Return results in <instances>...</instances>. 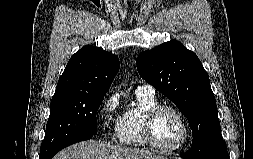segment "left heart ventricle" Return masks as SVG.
<instances>
[{
  "instance_id": "obj_1",
  "label": "left heart ventricle",
  "mask_w": 253,
  "mask_h": 159,
  "mask_svg": "<svg viewBox=\"0 0 253 159\" xmlns=\"http://www.w3.org/2000/svg\"><path fill=\"white\" fill-rule=\"evenodd\" d=\"M157 143L163 147H173L182 138L183 126L179 117L172 111L160 112L153 126Z\"/></svg>"
}]
</instances>
